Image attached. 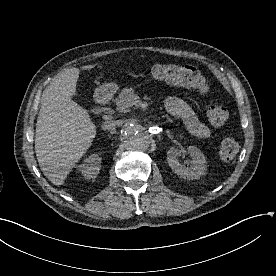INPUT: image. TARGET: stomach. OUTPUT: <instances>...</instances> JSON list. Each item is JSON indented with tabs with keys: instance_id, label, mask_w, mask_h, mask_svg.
<instances>
[{
	"instance_id": "stomach-1",
	"label": "stomach",
	"mask_w": 276,
	"mask_h": 276,
	"mask_svg": "<svg viewBox=\"0 0 276 276\" xmlns=\"http://www.w3.org/2000/svg\"><path fill=\"white\" fill-rule=\"evenodd\" d=\"M118 90V85L115 83L103 84L95 90V95L105 97L114 94Z\"/></svg>"
}]
</instances>
